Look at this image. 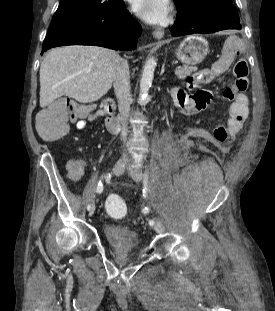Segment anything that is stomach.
Returning a JSON list of instances; mask_svg holds the SVG:
<instances>
[{
    "instance_id": "1",
    "label": "stomach",
    "mask_w": 275,
    "mask_h": 311,
    "mask_svg": "<svg viewBox=\"0 0 275 311\" xmlns=\"http://www.w3.org/2000/svg\"><path fill=\"white\" fill-rule=\"evenodd\" d=\"M207 53V41L200 36L192 35L180 44L176 50V57L185 65H196L204 60Z\"/></svg>"
}]
</instances>
